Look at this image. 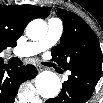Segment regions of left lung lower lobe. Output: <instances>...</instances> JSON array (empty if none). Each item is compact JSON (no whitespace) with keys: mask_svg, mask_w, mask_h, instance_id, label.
<instances>
[{"mask_svg":"<svg viewBox=\"0 0 103 103\" xmlns=\"http://www.w3.org/2000/svg\"><path fill=\"white\" fill-rule=\"evenodd\" d=\"M68 80L63 83L60 94L46 103H85L93 94L101 77L102 62L92 61L80 64L71 70Z\"/></svg>","mask_w":103,"mask_h":103,"instance_id":"0a47b994","label":"left lung lower lobe"}]
</instances>
